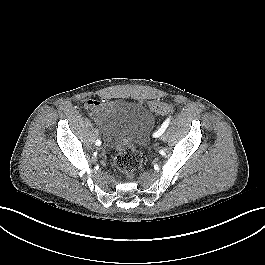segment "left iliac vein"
I'll list each match as a JSON object with an SVG mask.
<instances>
[{
  "label": "left iliac vein",
  "instance_id": "left-iliac-vein-1",
  "mask_svg": "<svg viewBox=\"0 0 265 265\" xmlns=\"http://www.w3.org/2000/svg\"><path fill=\"white\" fill-rule=\"evenodd\" d=\"M161 139H162V140H165V136H162Z\"/></svg>",
  "mask_w": 265,
  "mask_h": 265
}]
</instances>
